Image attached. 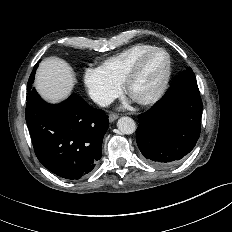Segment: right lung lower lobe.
<instances>
[{"mask_svg":"<svg viewBox=\"0 0 232 232\" xmlns=\"http://www.w3.org/2000/svg\"><path fill=\"white\" fill-rule=\"evenodd\" d=\"M25 117L35 154L52 173L77 180L90 173L101 158L108 116L78 95L53 105L32 88Z\"/></svg>","mask_w":232,"mask_h":232,"instance_id":"obj_1","label":"right lung lower lobe"}]
</instances>
